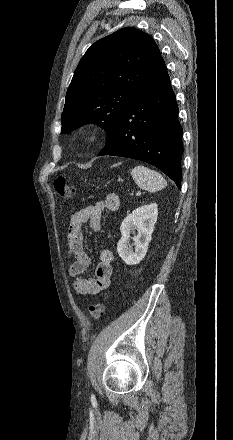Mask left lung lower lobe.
Instances as JSON below:
<instances>
[{"instance_id":"obj_1","label":"left lung lower lobe","mask_w":233,"mask_h":440,"mask_svg":"<svg viewBox=\"0 0 233 440\" xmlns=\"http://www.w3.org/2000/svg\"><path fill=\"white\" fill-rule=\"evenodd\" d=\"M183 130L162 57L123 113L115 135L98 156L133 158L152 164L181 185Z\"/></svg>"}]
</instances>
